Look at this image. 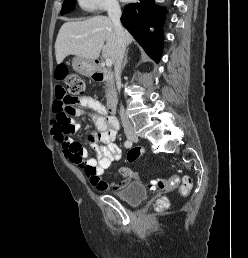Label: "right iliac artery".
<instances>
[{"label": "right iliac artery", "instance_id": "82829eb1", "mask_svg": "<svg viewBox=\"0 0 248 258\" xmlns=\"http://www.w3.org/2000/svg\"><path fill=\"white\" fill-rule=\"evenodd\" d=\"M126 148H130L132 146V142L130 140L125 141L124 143Z\"/></svg>", "mask_w": 248, "mask_h": 258}]
</instances>
